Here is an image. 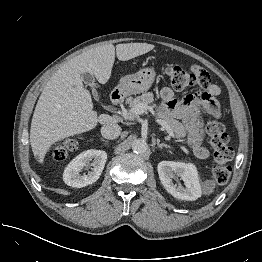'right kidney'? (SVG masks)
Segmentation results:
<instances>
[{
	"label": "right kidney",
	"instance_id": "obj_1",
	"mask_svg": "<svg viewBox=\"0 0 262 262\" xmlns=\"http://www.w3.org/2000/svg\"><path fill=\"white\" fill-rule=\"evenodd\" d=\"M107 153L103 150H87L76 156L65 168L64 182L71 187L82 188L96 182L105 166ZM92 166V171L80 174L85 167Z\"/></svg>",
	"mask_w": 262,
	"mask_h": 262
}]
</instances>
